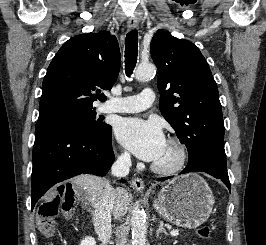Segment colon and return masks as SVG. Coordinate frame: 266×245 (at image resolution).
<instances>
[{
  "label": "colon",
  "mask_w": 266,
  "mask_h": 245,
  "mask_svg": "<svg viewBox=\"0 0 266 245\" xmlns=\"http://www.w3.org/2000/svg\"><path fill=\"white\" fill-rule=\"evenodd\" d=\"M61 204V197H56L42 204L37 210V227L47 238L52 237L54 234L55 218L58 215ZM211 231V227L205 225L197 230V234L202 239H208Z\"/></svg>",
  "instance_id": "colon-1"
}]
</instances>
